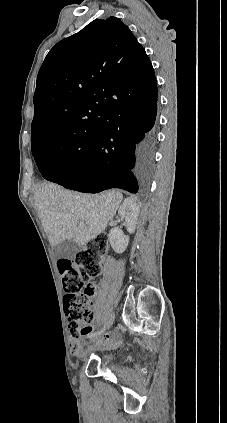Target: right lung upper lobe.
<instances>
[{
    "label": "right lung upper lobe",
    "mask_w": 227,
    "mask_h": 423,
    "mask_svg": "<svg viewBox=\"0 0 227 423\" xmlns=\"http://www.w3.org/2000/svg\"><path fill=\"white\" fill-rule=\"evenodd\" d=\"M157 91L152 64L119 18L96 19L58 42L37 76L31 143L59 136L79 145L95 141L108 108Z\"/></svg>",
    "instance_id": "obj_1"
}]
</instances>
